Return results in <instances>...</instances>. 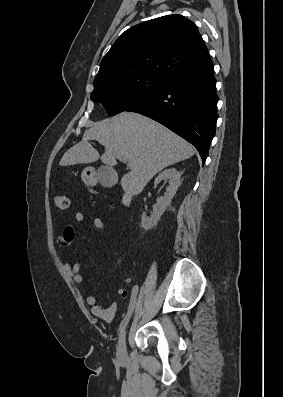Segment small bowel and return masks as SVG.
<instances>
[{
    "instance_id": "c3829d8e",
    "label": "small bowel",
    "mask_w": 283,
    "mask_h": 397,
    "mask_svg": "<svg viewBox=\"0 0 283 397\" xmlns=\"http://www.w3.org/2000/svg\"><path fill=\"white\" fill-rule=\"evenodd\" d=\"M86 220V215L83 212H77L75 214V221L77 223H84ZM93 225L98 230H105L106 225L101 217H95L93 219ZM76 231L73 224H67L63 232L60 236L56 238V243L61 247H67L73 243L75 240ZM65 271L67 274L73 279V281L77 284H81L84 281V277L81 273V264L78 262L71 263L66 262L64 264ZM130 280H127L126 283H129ZM119 293L125 297L127 295V289L122 288L120 289ZM86 303L91 308V313L108 323H112L115 319L116 312H117V305L115 303H111L110 305L104 307L98 303L97 298L93 295H89L86 298Z\"/></svg>"
}]
</instances>
